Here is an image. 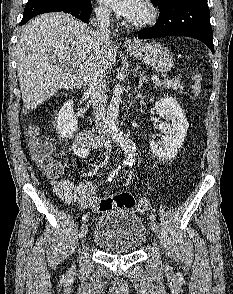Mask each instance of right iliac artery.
Masks as SVG:
<instances>
[{"mask_svg":"<svg viewBox=\"0 0 233 294\" xmlns=\"http://www.w3.org/2000/svg\"><path fill=\"white\" fill-rule=\"evenodd\" d=\"M125 164H127L126 162H124L123 164H121L120 166H118V168L114 169L108 176L107 181L110 182L113 180V178L115 177V175L118 174V171L121 169L122 166H124ZM88 219V215H84L82 217L83 221H86Z\"/></svg>","mask_w":233,"mask_h":294,"instance_id":"82829eb1","label":"right iliac artery"}]
</instances>
